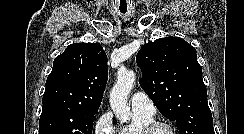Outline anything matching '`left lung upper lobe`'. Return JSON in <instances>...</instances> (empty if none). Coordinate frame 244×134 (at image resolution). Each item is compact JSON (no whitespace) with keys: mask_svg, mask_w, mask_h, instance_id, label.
Masks as SVG:
<instances>
[{"mask_svg":"<svg viewBox=\"0 0 244 134\" xmlns=\"http://www.w3.org/2000/svg\"><path fill=\"white\" fill-rule=\"evenodd\" d=\"M140 85L180 134H215L196 49L179 37L143 45L136 56Z\"/></svg>","mask_w":244,"mask_h":134,"instance_id":"left-lung-upper-lobe-1","label":"left lung upper lobe"}]
</instances>
